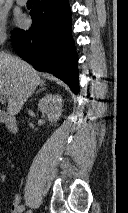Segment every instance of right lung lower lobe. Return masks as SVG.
I'll list each match as a JSON object with an SVG mask.
<instances>
[{
    "instance_id": "1",
    "label": "right lung lower lobe",
    "mask_w": 128,
    "mask_h": 213,
    "mask_svg": "<svg viewBox=\"0 0 128 213\" xmlns=\"http://www.w3.org/2000/svg\"><path fill=\"white\" fill-rule=\"evenodd\" d=\"M30 15L34 22L29 30L12 32L14 50L36 69L54 73L78 93V55L68 0H34Z\"/></svg>"
}]
</instances>
